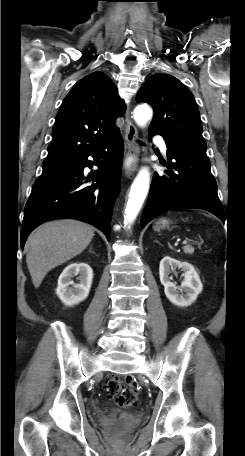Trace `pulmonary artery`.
<instances>
[{"label": "pulmonary artery", "instance_id": "1", "mask_svg": "<svg viewBox=\"0 0 245 456\" xmlns=\"http://www.w3.org/2000/svg\"><path fill=\"white\" fill-rule=\"evenodd\" d=\"M155 140L159 144L160 149L163 152H166L167 151V146H166V143L164 142V140L161 137H156Z\"/></svg>", "mask_w": 245, "mask_h": 456}]
</instances>
